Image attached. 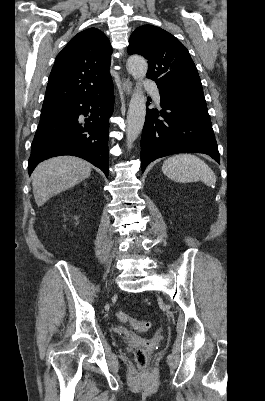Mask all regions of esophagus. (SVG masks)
<instances>
[{
  "label": "esophagus",
  "mask_w": 265,
  "mask_h": 401,
  "mask_svg": "<svg viewBox=\"0 0 265 401\" xmlns=\"http://www.w3.org/2000/svg\"><path fill=\"white\" fill-rule=\"evenodd\" d=\"M131 87H132V83L129 78L122 79V88L126 94L131 93Z\"/></svg>",
  "instance_id": "34e87169"
}]
</instances>
